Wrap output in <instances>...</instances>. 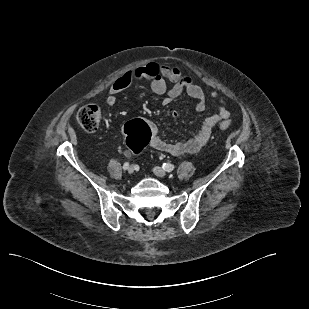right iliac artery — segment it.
<instances>
[{
    "label": "right iliac artery",
    "instance_id": "obj_1",
    "mask_svg": "<svg viewBox=\"0 0 309 309\" xmlns=\"http://www.w3.org/2000/svg\"><path fill=\"white\" fill-rule=\"evenodd\" d=\"M129 167V162H125L124 165H123V169L124 170H127Z\"/></svg>",
    "mask_w": 309,
    "mask_h": 309
}]
</instances>
